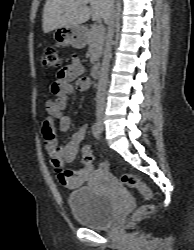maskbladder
<instances>
[{
  "instance_id": "1",
  "label": "bladder",
  "mask_w": 194,
  "mask_h": 250,
  "mask_svg": "<svg viewBox=\"0 0 194 250\" xmlns=\"http://www.w3.org/2000/svg\"><path fill=\"white\" fill-rule=\"evenodd\" d=\"M68 206L79 223L94 229L106 227L116 215L114 199L91 186L70 192Z\"/></svg>"
}]
</instances>
